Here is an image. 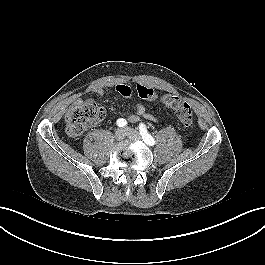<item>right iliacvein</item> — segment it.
<instances>
[{
	"mask_svg": "<svg viewBox=\"0 0 265 265\" xmlns=\"http://www.w3.org/2000/svg\"><path fill=\"white\" fill-rule=\"evenodd\" d=\"M126 137V131L124 129H117L115 134H114V138L117 141H121Z\"/></svg>",
	"mask_w": 265,
	"mask_h": 265,
	"instance_id": "63e3f726",
	"label": "right iliac vein"
}]
</instances>
